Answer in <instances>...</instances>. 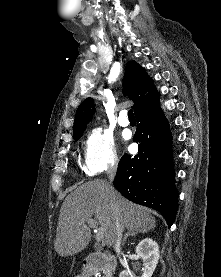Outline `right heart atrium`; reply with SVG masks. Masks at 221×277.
<instances>
[{"label": "right heart atrium", "mask_w": 221, "mask_h": 277, "mask_svg": "<svg viewBox=\"0 0 221 277\" xmlns=\"http://www.w3.org/2000/svg\"><path fill=\"white\" fill-rule=\"evenodd\" d=\"M118 155L112 134L102 127L93 128L84 146L83 169L88 176L113 169Z\"/></svg>", "instance_id": "obj_1"}]
</instances>
